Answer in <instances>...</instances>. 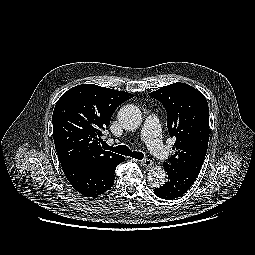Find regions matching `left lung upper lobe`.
Masks as SVG:
<instances>
[{
    "instance_id": "1",
    "label": "left lung upper lobe",
    "mask_w": 255,
    "mask_h": 255,
    "mask_svg": "<svg viewBox=\"0 0 255 255\" xmlns=\"http://www.w3.org/2000/svg\"><path fill=\"white\" fill-rule=\"evenodd\" d=\"M167 112V127L176 138L169 164L198 176L209 140V107L204 95L185 83H174L149 93Z\"/></svg>"
}]
</instances>
